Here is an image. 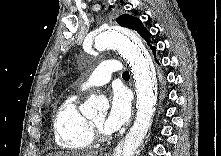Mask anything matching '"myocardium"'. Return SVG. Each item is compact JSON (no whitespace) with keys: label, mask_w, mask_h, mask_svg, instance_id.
<instances>
[{"label":"myocardium","mask_w":221,"mask_h":156,"mask_svg":"<svg viewBox=\"0 0 221 156\" xmlns=\"http://www.w3.org/2000/svg\"><path fill=\"white\" fill-rule=\"evenodd\" d=\"M90 129L93 140L106 141L110 138L109 134L105 132L102 128H100L98 125H96L93 121H90Z\"/></svg>","instance_id":"f54148a6"}]
</instances>
